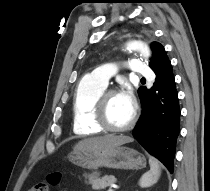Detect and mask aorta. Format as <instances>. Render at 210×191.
<instances>
[{
  "mask_svg": "<svg viewBox=\"0 0 210 191\" xmlns=\"http://www.w3.org/2000/svg\"><path fill=\"white\" fill-rule=\"evenodd\" d=\"M128 50H136L141 53L142 56L148 58L150 56V49L149 47L140 41H130L127 44Z\"/></svg>",
  "mask_w": 210,
  "mask_h": 191,
  "instance_id": "aorta-1",
  "label": "aorta"
}]
</instances>
